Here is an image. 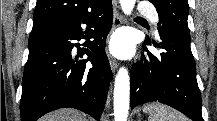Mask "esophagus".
Wrapping results in <instances>:
<instances>
[{
    "label": "esophagus",
    "mask_w": 217,
    "mask_h": 121,
    "mask_svg": "<svg viewBox=\"0 0 217 121\" xmlns=\"http://www.w3.org/2000/svg\"><path fill=\"white\" fill-rule=\"evenodd\" d=\"M123 24V16L122 14L115 10L114 17H113V26H112V32L117 28L120 27ZM109 64L114 72L118 68V63L114 57H112L110 54H108Z\"/></svg>",
    "instance_id": "esophagus-1"
}]
</instances>
